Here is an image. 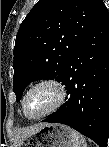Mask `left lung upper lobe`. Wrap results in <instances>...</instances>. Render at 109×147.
<instances>
[{"label":"left lung upper lobe","instance_id":"5c2ea615","mask_svg":"<svg viewBox=\"0 0 109 147\" xmlns=\"http://www.w3.org/2000/svg\"><path fill=\"white\" fill-rule=\"evenodd\" d=\"M106 10L102 0H39L34 5L15 41L17 101L34 80H63L72 54Z\"/></svg>","mask_w":109,"mask_h":147}]
</instances>
